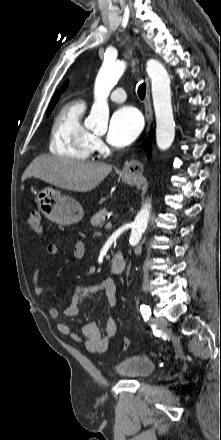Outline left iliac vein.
<instances>
[{"instance_id":"1","label":"left iliac vein","mask_w":221,"mask_h":440,"mask_svg":"<svg viewBox=\"0 0 221 440\" xmlns=\"http://www.w3.org/2000/svg\"><path fill=\"white\" fill-rule=\"evenodd\" d=\"M153 321L157 325V327L161 330H163L167 325L166 319L162 316L153 319Z\"/></svg>"}]
</instances>
